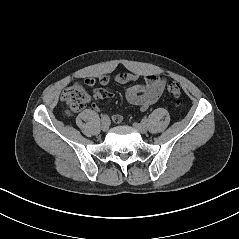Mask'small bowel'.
<instances>
[{
    "mask_svg": "<svg viewBox=\"0 0 239 239\" xmlns=\"http://www.w3.org/2000/svg\"><path fill=\"white\" fill-rule=\"evenodd\" d=\"M138 78L139 75L135 73H119L115 76V81L120 84H127L137 81ZM90 80H93L95 84L97 82L95 78H87L86 83L89 84ZM109 81L108 76H101L99 78V83L102 86L108 85ZM165 86V78L156 74H148L144 77V82L135 83L127 87L124 90V95L128 103L139 106L141 111H146L159 99ZM95 96L100 99H110L114 97V94L105 88H98L95 90ZM113 120L119 123L122 121V116L114 115Z\"/></svg>",
    "mask_w": 239,
    "mask_h": 239,
    "instance_id": "1",
    "label": "small bowel"
}]
</instances>
